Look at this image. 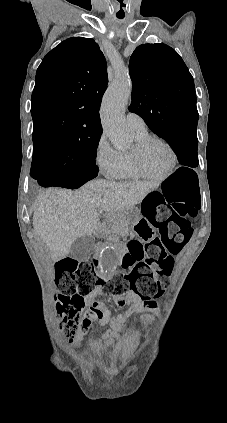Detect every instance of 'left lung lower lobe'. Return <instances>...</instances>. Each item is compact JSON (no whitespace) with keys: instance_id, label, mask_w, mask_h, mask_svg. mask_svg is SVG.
Returning <instances> with one entry per match:
<instances>
[{"instance_id":"left-lung-lower-lobe-1","label":"left lung lower lobe","mask_w":227,"mask_h":423,"mask_svg":"<svg viewBox=\"0 0 227 423\" xmlns=\"http://www.w3.org/2000/svg\"><path fill=\"white\" fill-rule=\"evenodd\" d=\"M169 145L174 150L177 155L179 162L182 165H186L189 167H197L198 166V156H197V146H198V139L197 136H185L181 138H177L172 140ZM178 174H192L196 175V173L186 167H181L177 170L175 175Z\"/></svg>"}]
</instances>
